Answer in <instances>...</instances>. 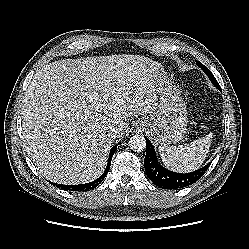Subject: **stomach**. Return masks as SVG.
<instances>
[{
	"instance_id": "stomach-1",
	"label": "stomach",
	"mask_w": 249,
	"mask_h": 249,
	"mask_svg": "<svg viewBox=\"0 0 249 249\" xmlns=\"http://www.w3.org/2000/svg\"><path fill=\"white\" fill-rule=\"evenodd\" d=\"M157 89L159 103L155 111L138 122L146 127L156 145L164 146L181 141L187 130L188 111L180 90L172 82L163 67L159 69Z\"/></svg>"
}]
</instances>
